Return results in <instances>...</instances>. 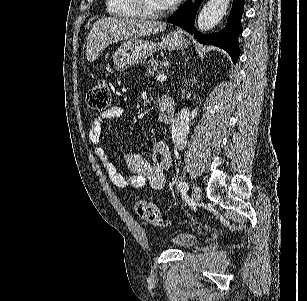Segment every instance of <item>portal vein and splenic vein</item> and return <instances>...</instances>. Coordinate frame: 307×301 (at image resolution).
Returning a JSON list of instances; mask_svg holds the SVG:
<instances>
[{
	"mask_svg": "<svg viewBox=\"0 0 307 301\" xmlns=\"http://www.w3.org/2000/svg\"><path fill=\"white\" fill-rule=\"evenodd\" d=\"M157 78L158 80H166L167 76L165 74H158Z\"/></svg>",
	"mask_w": 307,
	"mask_h": 301,
	"instance_id": "portal-vein-and-splenic-vein-1",
	"label": "portal vein and splenic vein"
}]
</instances>
